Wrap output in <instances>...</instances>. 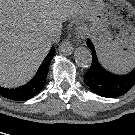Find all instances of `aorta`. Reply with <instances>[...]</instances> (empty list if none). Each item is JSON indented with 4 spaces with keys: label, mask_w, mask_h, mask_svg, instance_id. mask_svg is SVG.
<instances>
[{
    "label": "aorta",
    "mask_w": 135,
    "mask_h": 135,
    "mask_svg": "<svg viewBox=\"0 0 135 135\" xmlns=\"http://www.w3.org/2000/svg\"><path fill=\"white\" fill-rule=\"evenodd\" d=\"M74 59L78 66L87 68L92 63V55L90 49L86 47H78L74 52Z\"/></svg>",
    "instance_id": "1"
}]
</instances>
